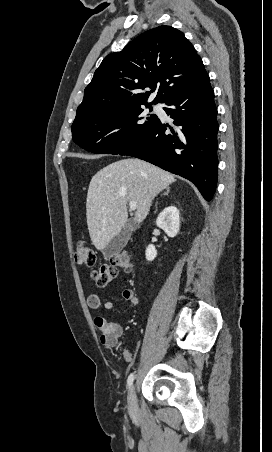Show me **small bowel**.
<instances>
[{"label":"small bowel","mask_w":272,"mask_h":452,"mask_svg":"<svg viewBox=\"0 0 272 452\" xmlns=\"http://www.w3.org/2000/svg\"><path fill=\"white\" fill-rule=\"evenodd\" d=\"M122 299L131 307H136L139 303L132 289L123 290ZM87 305L92 310L99 309L102 306L101 297L96 293L90 294L87 298ZM103 307L106 310H112L115 304L112 301H107L103 304ZM94 324L102 332L100 340L105 347L111 348L117 344L119 337L122 335V326L118 322L111 321L103 316H96Z\"/></svg>","instance_id":"c3829d8e"}]
</instances>
